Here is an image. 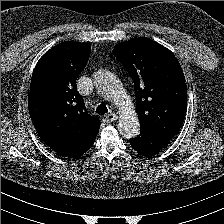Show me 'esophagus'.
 <instances>
[{
	"instance_id": "34e87169",
	"label": "esophagus",
	"mask_w": 224,
	"mask_h": 224,
	"mask_svg": "<svg viewBox=\"0 0 224 224\" xmlns=\"http://www.w3.org/2000/svg\"><path fill=\"white\" fill-rule=\"evenodd\" d=\"M117 119H118V116L116 114L110 113V114L104 115L103 122L111 123V122H113V121H115Z\"/></svg>"
}]
</instances>
